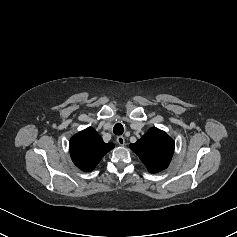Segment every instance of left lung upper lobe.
Listing matches in <instances>:
<instances>
[{"instance_id":"obj_1","label":"left lung upper lobe","mask_w":237,"mask_h":237,"mask_svg":"<svg viewBox=\"0 0 237 237\" xmlns=\"http://www.w3.org/2000/svg\"><path fill=\"white\" fill-rule=\"evenodd\" d=\"M130 148L150 173H157L168 167L174 152V141L166 132L153 127Z\"/></svg>"}]
</instances>
